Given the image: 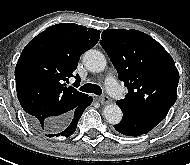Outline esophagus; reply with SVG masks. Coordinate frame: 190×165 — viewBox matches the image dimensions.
Here are the masks:
<instances>
[{
  "mask_svg": "<svg viewBox=\"0 0 190 165\" xmlns=\"http://www.w3.org/2000/svg\"><path fill=\"white\" fill-rule=\"evenodd\" d=\"M98 101L101 104H109L111 102L110 98L107 95H103V96L99 97Z\"/></svg>",
  "mask_w": 190,
  "mask_h": 165,
  "instance_id": "1",
  "label": "esophagus"
}]
</instances>
